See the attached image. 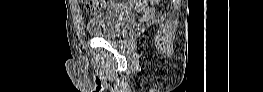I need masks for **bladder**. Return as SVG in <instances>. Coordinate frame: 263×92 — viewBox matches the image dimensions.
Masks as SVG:
<instances>
[{"instance_id": "bladder-1", "label": "bladder", "mask_w": 263, "mask_h": 92, "mask_svg": "<svg viewBox=\"0 0 263 92\" xmlns=\"http://www.w3.org/2000/svg\"><path fill=\"white\" fill-rule=\"evenodd\" d=\"M136 15L133 11L111 7L88 18L86 31L98 38L114 39L131 28Z\"/></svg>"}]
</instances>
